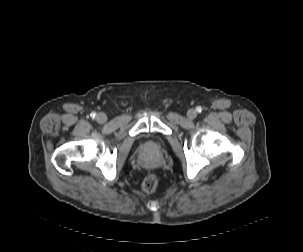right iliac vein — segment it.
<instances>
[{
	"label": "right iliac vein",
	"instance_id": "right-iliac-vein-1",
	"mask_svg": "<svg viewBox=\"0 0 303 252\" xmlns=\"http://www.w3.org/2000/svg\"><path fill=\"white\" fill-rule=\"evenodd\" d=\"M96 119L99 123L103 124L107 121V116L104 113H99Z\"/></svg>",
	"mask_w": 303,
	"mask_h": 252
}]
</instances>
